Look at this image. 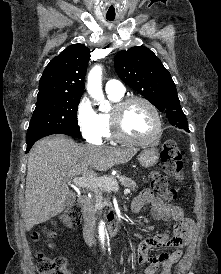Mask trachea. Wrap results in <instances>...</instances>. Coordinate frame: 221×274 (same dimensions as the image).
<instances>
[{
  "instance_id": "trachea-1",
  "label": "trachea",
  "mask_w": 221,
  "mask_h": 274,
  "mask_svg": "<svg viewBox=\"0 0 221 274\" xmlns=\"http://www.w3.org/2000/svg\"><path fill=\"white\" fill-rule=\"evenodd\" d=\"M107 20L113 21V20H114V17H107Z\"/></svg>"
}]
</instances>
